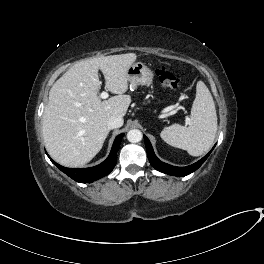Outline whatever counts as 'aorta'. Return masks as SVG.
<instances>
[{
	"label": "aorta",
	"mask_w": 264,
	"mask_h": 264,
	"mask_svg": "<svg viewBox=\"0 0 264 264\" xmlns=\"http://www.w3.org/2000/svg\"><path fill=\"white\" fill-rule=\"evenodd\" d=\"M127 139L131 143H137L142 139V132L138 129H132L128 131Z\"/></svg>",
	"instance_id": "1"
}]
</instances>
